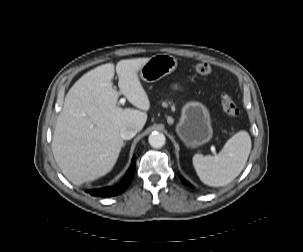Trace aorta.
Masks as SVG:
<instances>
[{
	"label": "aorta",
	"mask_w": 303,
	"mask_h": 252,
	"mask_svg": "<svg viewBox=\"0 0 303 252\" xmlns=\"http://www.w3.org/2000/svg\"><path fill=\"white\" fill-rule=\"evenodd\" d=\"M148 142L153 148H161L165 144L166 138L163 133L155 131L149 135Z\"/></svg>",
	"instance_id": "762f6f07"
}]
</instances>
